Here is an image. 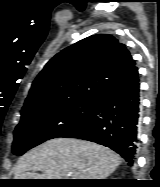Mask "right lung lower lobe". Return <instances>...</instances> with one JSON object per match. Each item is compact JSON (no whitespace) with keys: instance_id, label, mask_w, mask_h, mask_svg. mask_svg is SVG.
Wrapping results in <instances>:
<instances>
[{"instance_id":"98d812e1","label":"right lung lower lobe","mask_w":160,"mask_h":187,"mask_svg":"<svg viewBox=\"0 0 160 187\" xmlns=\"http://www.w3.org/2000/svg\"><path fill=\"white\" fill-rule=\"evenodd\" d=\"M138 68L133 67L98 98L93 114L65 138H79L111 148L133 166L140 123Z\"/></svg>"}]
</instances>
